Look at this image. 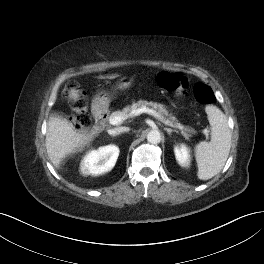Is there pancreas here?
I'll list each match as a JSON object with an SVG mask.
<instances>
[{"label": "pancreas", "instance_id": "pancreas-1", "mask_svg": "<svg viewBox=\"0 0 264 264\" xmlns=\"http://www.w3.org/2000/svg\"><path fill=\"white\" fill-rule=\"evenodd\" d=\"M142 107L152 108L157 113H159V115H161L165 120H168L169 123H171L174 126L181 125L180 123H178L177 118L167 111V109L164 105L158 104L156 102H148L145 100H139L136 103L134 102L132 105H128L125 108H123L122 111L112 112L110 117L111 116H118V115H129L132 111L140 109Z\"/></svg>", "mask_w": 264, "mask_h": 264}]
</instances>
